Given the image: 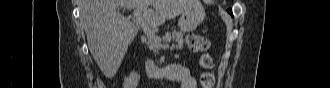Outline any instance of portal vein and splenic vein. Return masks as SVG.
<instances>
[{
    "instance_id": "1",
    "label": "portal vein and splenic vein",
    "mask_w": 330,
    "mask_h": 88,
    "mask_svg": "<svg viewBox=\"0 0 330 88\" xmlns=\"http://www.w3.org/2000/svg\"><path fill=\"white\" fill-rule=\"evenodd\" d=\"M133 17L136 21V24L143 30V32L146 34V36L152 41V43L155 45L158 49H166L169 48V44H161L158 36L155 34L153 29L149 26V24L145 21L143 17L142 10L136 9L133 11Z\"/></svg>"
}]
</instances>
